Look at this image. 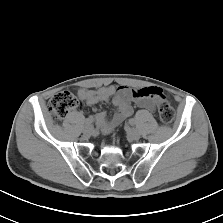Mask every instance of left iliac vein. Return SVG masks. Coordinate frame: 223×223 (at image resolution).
<instances>
[{"label": "left iliac vein", "mask_w": 223, "mask_h": 223, "mask_svg": "<svg viewBox=\"0 0 223 223\" xmlns=\"http://www.w3.org/2000/svg\"><path fill=\"white\" fill-rule=\"evenodd\" d=\"M126 132L130 140H138L141 136L140 132L135 128H127Z\"/></svg>", "instance_id": "obj_1"}]
</instances>
